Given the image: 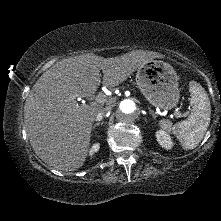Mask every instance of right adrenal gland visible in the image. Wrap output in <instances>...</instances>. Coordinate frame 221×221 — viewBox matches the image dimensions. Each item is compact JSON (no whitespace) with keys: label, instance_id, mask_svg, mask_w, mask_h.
<instances>
[{"label":"right adrenal gland","instance_id":"right-adrenal-gland-1","mask_svg":"<svg viewBox=\"0 0 221 221\" xmlns=\"http://www.w3.org/2000/svg\"><path fill=\"white\" fill-rule=\"evenodd\" d=\"M99 125H100V122L95 123L94 126H93V130H94L97 126H99Z\"/></svg>","mask_w":221,"mask_h":221}]
</instances>
